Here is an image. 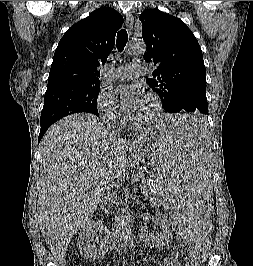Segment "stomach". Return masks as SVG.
I'll list each match as a JSON object with an SVG mask.
<instances>
[{
  "label": "stomach",
  "mask_w": 253,
  "mask_h": 266,
  "mask_svg": "<svg viewBox=\"0 0 253 266\" xmlns=\"http://www.w3.org/2000/svg\"><path fill=\"white\" fill-rule=\"evenodd\" d=\"M158 145H160V138L159 135H156L153 142H151L150 138H145L135 143L131 146L130 152L141 163L150 164L151 160H155L153 152L157 150Z\"/></svg>",
  "instance_id": "1"
}]
</instances>
